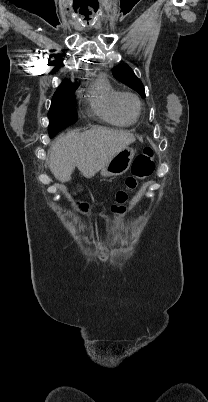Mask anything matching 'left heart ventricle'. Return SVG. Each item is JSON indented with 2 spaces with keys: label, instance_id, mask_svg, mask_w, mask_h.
Segmentation results:
<instances>
[{
  "label": "left heart ventricle",
  "instance_id": "1",
  "mask_svg": "<svg viewBox=\"0 0 208 402\" xmlns=\"http://www.w3.org/2000/svg\"><path fill=\"white\" fill-rule=\"evenodd\" d=\"M123 104L128 112H130L133 115L136 114L138 108L136 102L132 98L129 97L125 98Z\"/></svg>",
  "mask_w": 208,
  "mask_h": 402
}]
</instances>
